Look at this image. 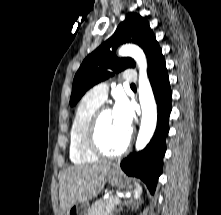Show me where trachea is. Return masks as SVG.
I'll list each match as a JSON object with an SVG mask.
<instances>
[{
    "label": "trachea",
    "instance_id": "trachea-1",
    "mask_svg": "<svg viewBox=\"0 0 221 215\" xmlns=\"http://www.w3.org/2000/svg\"><path fill=\"white\" fill-rule=\"evenodd\" d=\"M131 86H132V87H134V86H135V84H131Z\"/></svg>",
    "mask_w": 221,
    "mask_h": 215
}]
</instances>
